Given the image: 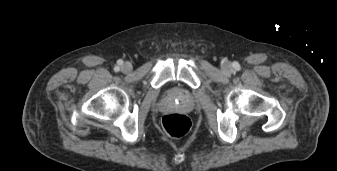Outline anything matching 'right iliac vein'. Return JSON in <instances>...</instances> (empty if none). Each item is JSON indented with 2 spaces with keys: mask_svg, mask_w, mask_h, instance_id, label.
Masks as SVG:
<instances>
[{
  "mask_svg": "<svg viewBox=\"0 0 337 171\" xmlns=\"http://www.w3.org/2000/svg\"><path fill=\"white\" fill-rule=\"evenodd\" d=\"M121 70L124 73H129L132 70V65L129 62H126L121 66Z\"/></svg>",
  "mask_w": 337,
  "mask_h": 171,
  "instance_id": "1",
  "label": "right iliac vein"
}]
</instances>
